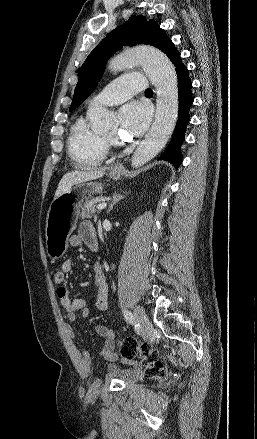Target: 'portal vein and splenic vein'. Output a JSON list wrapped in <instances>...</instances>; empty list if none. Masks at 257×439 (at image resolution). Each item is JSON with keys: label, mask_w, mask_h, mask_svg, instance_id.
Returning <instances> with one entry per match:
<instances>
[{"label": "portal vein and splenic vein", "mask_w": 257, "mask_h": 439, "mask_svg": "<svg viewBox=\"0 0 257 439\" xmlns=\"http://www.w3.org/2000/svg\"><path fill=\"white\" fill-rule=\"evenodd\" d=\"M106 207H107V203H105V202L99 203V204L97 205V209H98V210H103V209H105Z\"/></svg>", "instance_id": "obj_1"}]
</instances>
